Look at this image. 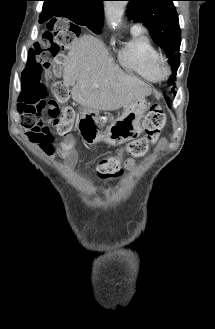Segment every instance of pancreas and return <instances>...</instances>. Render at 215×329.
<instances>
[{"label": "pancreas", "mask_w": 215, "mask_h": 329, "mask_svg": "<svg viewBox=\"0 0 215 329\" xmlns=\"http://www.w3.org/2000/svg\"><path fill=\"white\" fill-rule=\"evenodd\" d=\"M107 123V120L100 119V124L103 126Z\"/></svg>", "instance_id": "1"}]
</instances>
